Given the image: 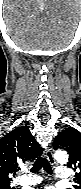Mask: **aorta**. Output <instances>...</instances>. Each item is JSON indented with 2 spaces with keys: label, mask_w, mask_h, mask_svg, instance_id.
<instances>
[{
  "label": "aorta",
  "mask_w": 81,
  "mask_h": 189,
  "mask_svg": "<svg viewBox=\"0 0 81 189\" xmlns=\"http://www.w3.org/2000/svg\"><path fill=\"white\" fill-rule=\"evenodd\" d=\"M55 159L57 162L65 164L68 162V154L63 150H58L55 153Z\"/></svg>",
  "instance_id": "aorta-1"
}]
</instances>
